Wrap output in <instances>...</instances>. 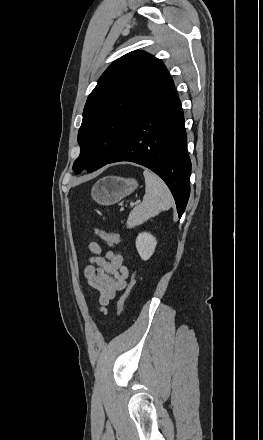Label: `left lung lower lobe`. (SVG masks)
<instances>
[{"mask_svg": "<svg viewBox=\"0 0 263 440\" xmlns=\"http://www.w3.org/2000/svg\"><path fill=\"white\" fill-rule=\"evenodd\" d=\"M119 161L143 165L159 175L182 216L190 195L191 161L183 110L170 76L141 108L120 149L106 164Z\"/></svg>", "mask_w": 263, "mask_h": 440, "instance_id": "obj_1", "label": "left lung lower lobe"}]
</instances>
